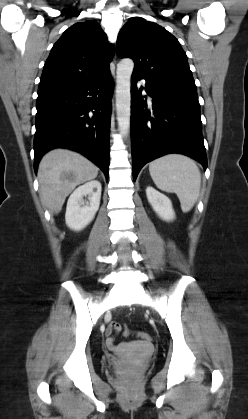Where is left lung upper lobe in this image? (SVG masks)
Returning <instances> with one entry per match:
<instances>
[{
  "instance_id": "5c2ea615",
  "label": "left lung upper lobe",
  "mask_w": 248,
  "mask_h": 419,
  "mask_svg": "<svg viewBox=\"0 0 248 419\" xmlns=\"http://www.w3.org/2000/svg\"><path fill=\"white\" fill-rule=\"evenodd\" d=\"M116 51L119 57L134 60L133 73L169 88L197 91L179 41L156 23L130 19L118 35Z\"/></svg>"
}]
</instances>
